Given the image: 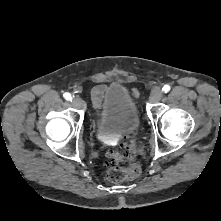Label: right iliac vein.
Segmentation results:
<instances>
[{
    "label": "right iliac vein",
    "instance_id": "1",
    "mask_svg": "<svg viewBox=\"0 0 221 221\" xmlns=\"http://www.w3.org/2000/svg\"><path fill=\"white\" fill-rule=\"evenodd\" d=\"M72 104L76 108H80V109H84L85 108L84 101L80 97H77V96L73 98Z\"/></svg>",
    "mask_w": 221,
    "mask_h": 221
}]
</instances>
